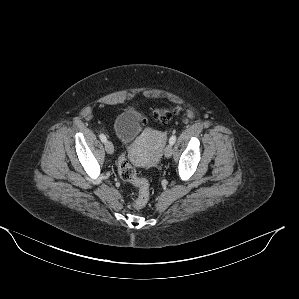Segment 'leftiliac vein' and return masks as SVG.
<instances>
[{
    "label": "left iliac vein",
    "mask_w": 299,
    "mask_h": 299,
    "mask_svg": "<svg viewBox=\"0 0 299 299\" xmlns=\"http://www.w3.org/2000/svg\"><path fill=\"white\" fill-rule=\"evenodd\" d=\"M173 153V146L172 144H168L164 150V155L166 158H170Z\"/></svg>",
    "instance_id": "obj_1"
}]
</instances>
